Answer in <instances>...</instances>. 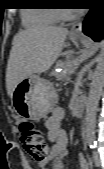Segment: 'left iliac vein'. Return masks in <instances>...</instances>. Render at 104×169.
<instances>
[{"label":"left iliac vein","instance_id":"1","mask_svg":"<svg viewBox=\"0 0 104 169\" xmlns=\"http://www.w3.org/2000/svg\"><path fill=\"white\" fill-rule=\"evenodd\" d=\"M93 162L96 167H99L101 165L100 156L97 151L93 152Z\"/></svg>","mask_w":104,"mask_h":169}]
</instances>
